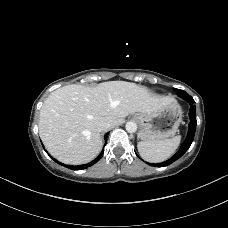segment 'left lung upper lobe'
<instances>
[{
  "mask_svg": "<svg viewBox=\"0 0 228 228\" xmlns=\"http://www.w3.org/2000/svg\"><path fill=\"white\" fill-rule=\"evenodd\" d=\"M187 93L183 90L178 91V95L182 97L183 95H186Z\"/></svg>",
  "mask_w": 228,
  "mask_h": 228,
  "instance_id": "left-lung-upper-lobe-1",
  "label": "left lung upper lobe"
}]
</instances>
